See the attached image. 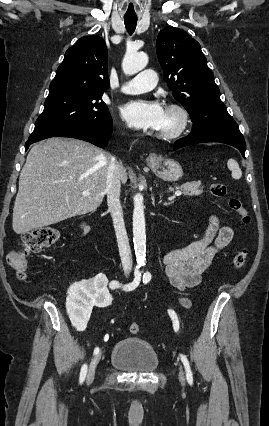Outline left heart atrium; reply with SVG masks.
I'll use <instances>...</instances> for the list:
<instances>
[{"label": "left heart atrium", "instance_id": "left-heart-atrium-1", "mask_svg": "<svg viewBox=\"0 0 269 426\" xmlns=\"http://www.w3.org/2000/svg\"><path fill=\"white\" fill-rule=\"evenodd\" d=\"M165 110L157 101L131 100L120 108L121 118L130 126L141 130H159Z\"/></svg>", "mask_w": 269, "mask_h": 426}]
</instances>
